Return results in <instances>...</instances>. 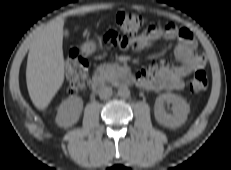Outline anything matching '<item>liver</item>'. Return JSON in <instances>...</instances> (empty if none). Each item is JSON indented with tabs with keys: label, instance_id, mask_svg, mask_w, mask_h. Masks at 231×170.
Instances as JSON below:
<instances>
[{
	"label": "liver",
	"instance_id": "6515ba94",
	"mask_svg": "<svg viewBox=\"0 0 231 170\" xmlns=\"http://www.w3.org/2000/svg\"><path fill=\"white\" fill-rule=\"evenodd\" d=\"M64 19L50 21L35 36L27 59L26 82L34 106L45 109L64 82Z\"/></svg>",
	"mask_w": 231,
	"mask_h": 170
}]
</instances>
